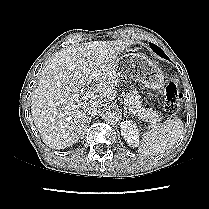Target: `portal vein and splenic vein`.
<instances>
[{
    "instance_id": "1",
    "label": "portal vein and splenic vein",
    "mask_w": 209,
    "mask_h": 209,
    "mask_svg": "<svg viewBox=\"0 0 209 209\" xmlns=\"http://www.w3.org/2000/svg\"><path fill=\"white\" fill-rule=\"evenodd\" d=\"M81 94H82L83 100H88L94 95L92 91H82ZM124 103L126 106H128L127 101H124ZM129 110H130V112L135 113V111L133 109L129 108Z\"/></svg>"
}]
</instances>
